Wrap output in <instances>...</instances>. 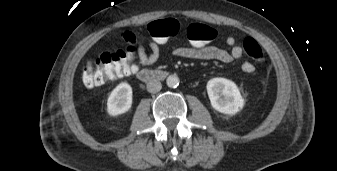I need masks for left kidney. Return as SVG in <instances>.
Instances as JSON below:
<instances>
[{"mask_svg": "<svg viewBox=\"0 0 337 171\" xmlns=\"http://www.w3.org/2000/svg\"><path fill=\"white\" fill-rule=\"evenodd\" d=\"M207 93L212 107L224 114L234 115L244 106L237 85L226 78H213L207 82Z\"/></svg>", "mask_w": 337, "mask_h": 171, "instance_id": "obj_1", "label": "left kidney"}]
</instances>
